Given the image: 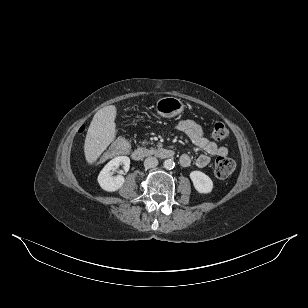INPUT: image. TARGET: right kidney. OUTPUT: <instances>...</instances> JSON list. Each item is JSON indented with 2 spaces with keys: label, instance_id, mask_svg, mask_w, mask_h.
Here are the masks:
<instances>
[{
  "label": "right kidney",
  "instance_id": "ca27d5eb",
  "mask_svg": "<svg viewBox=\"0 0 308 308\" xmlns=\"http://www.w3.org/2000/svg\"><path fill=\"white\" fill-rule=\"evenodd\" d=\"M120 165L127 172L130 167V159L127 156H118L108 162L101 170L98 176V183L101 188L107 192L117 191L122 187L125 179L122 175L112 176V171H115Z\"/></svg>",
  "mask_w": 308,
  "mask_h": 308
}]
</instances>
